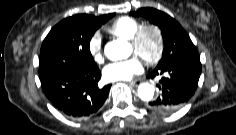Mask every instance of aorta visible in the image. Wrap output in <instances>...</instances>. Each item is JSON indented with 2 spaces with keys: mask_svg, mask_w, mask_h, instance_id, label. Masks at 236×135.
Segmentation results:
<instances>
[{
  "mask_svg": "<svg viewBox=\"0 0 236 135\" xmlns=\"http://www.w3.org/2000/svg\"><path fill=\"white\" fill-rule=\"evenodd\" d=\"M104 52L109 60L117 61L127 58L130 55V47L125 40L118 39L108 42ZM137 92L141 100L150 101L154 96L155 88L149 83H142L139 85Z\"/></svg>",
  "mask_w": 236,
  "mask_h": 135,
  "instance_id": "1",
  "label": "aorta"
}]
</instances>
